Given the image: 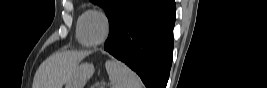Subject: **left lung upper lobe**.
<instances>
[{"mask_svg": "<svg viewBox=\"0 0 267 88\" xmlns=\"http://www.w3.org/2000/svg\"><path fill=\"white\" fill-rule=\"evenodd\" d=\"M105 9L110 27L132 0H90Z\"/></svg>", "mask_w": 267, "mask_h": 88, "instance_id": "obj_1", "label": "left lung upper lobe"}]
</instances>
